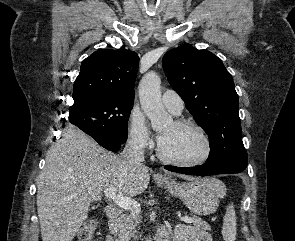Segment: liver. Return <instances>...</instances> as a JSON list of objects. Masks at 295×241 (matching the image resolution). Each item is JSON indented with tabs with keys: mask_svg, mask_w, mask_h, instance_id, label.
Masks as SVG:
<instances>
[{
	"mask_svg": "<svg viewBox=\"0 0 295 241\" xmlns=\"http://www.w3.org/2000/svg\"><path fill=\"white\" fill-rule=\"evenodd\" d=\"M149 182L145 165L132 166L83 132L66 129L47 152L37 183L42 240L72 241L87 219L91 203L101 200L106 188L134 197L143 193Z\"/></svg>",
	"mask_w": 295,
	"mask_h": 241,
	"instance_id": "liver-1",
	"label": "liver"
}]
</instances>
